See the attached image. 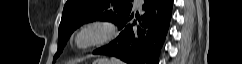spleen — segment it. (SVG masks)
I'll return each mask as SVG.
<instances>
[{"instance_id":"spleen-1","label":"spleen","mask_w":242,"mask_h":64,"mask_svg":"<svg viewBox=\"0 0 242 64\" xmlns=\"http://www.w3.org/2000/svg\"><path fill=\"white\" fill-rule=\"evenodd\" d=\"M110 63L111 64H121V62L119 60H116V59H111Z\"/></svg>"}]
</instances>
